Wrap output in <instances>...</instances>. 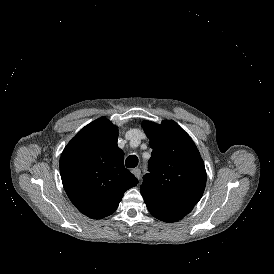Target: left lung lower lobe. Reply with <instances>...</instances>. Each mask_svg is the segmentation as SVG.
<instances>
[{"instance_id":"1","label":"left lung lower lobe","mask_w":274,"mask_h":274,"mask_svg":"<svg viewBox=\"0 0 274 274\" xmlns=\"http://www.w3.org/2000/svg\"><path fill=\"white\" fill-rule=\"evenodd\" d=\"M144 201L146 203V206L150 213L156 217L157 219H160L165 222H175L183 218L186 213L173 210L171 208H168L164 205H161L159 203H155L152 200L148 198H144Z\"/></svg>"}]
</instances>
